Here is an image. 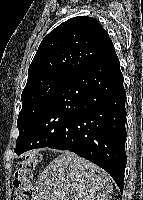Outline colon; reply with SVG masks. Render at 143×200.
Returning a JSON list of instances; mask_svg holds the SVG:
<instances>
[{
	"instance_id": "colon-1",
	"label": "colon",
	"mask_w": 143,
	"mask_h": 200,
	"mask_svg": "<svg viewBox=\"0 0 143 200\" xmlns=\"http://www.w3.org/2000/svg\"><path fill=\"white\" fill-rule=\"evenodd\" d=\"M41 157L38 154H31L19 164L14 174L13 187L15 191L14 200H28L31 189V180Z\"/></svg>"
}]
</instances>
